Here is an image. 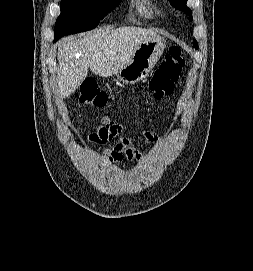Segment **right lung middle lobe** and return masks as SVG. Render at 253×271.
<instances>
[{
  "instance_id": "right-lung-middle-lobe-1",
  "label": "right lung middle lobe",
  "mask_w": 253,
  "mask_h": 271,
  "mask_svg": "<svg viewBox=\"0 0 253 271\" xmlns=\"http://www.w3.org/2000/svg\"><path fill=\"white\" fill-rule=\"evenodd\" d=\"M118 6V0H61V14L56 20L54 41L68 34L91 30Z\"/></svg>"
}]
</instances>
